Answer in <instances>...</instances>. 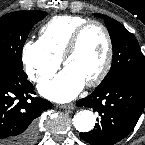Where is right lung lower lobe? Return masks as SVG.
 <instances>
[{"mask_svg": "<svg viewBox=\"0 0 145 145\" xmlns=\"http://www.w3.org/2000/svg\"><path fill=\"white\" fill-rule=\"evenodd\" d=\"M33 94L23 69L0 68V145H35L38 117L52 104Z\"/></svg>", "mask_w": 145, "mask_h": 145, "instance_id": "1", "label": "right lung lower lobe"}]
</instances>
